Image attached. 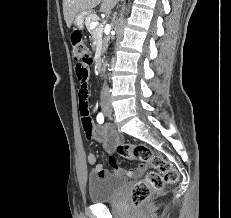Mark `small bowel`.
<instances>
[{
  "label": "small bowel",
  "instance_id": "obj_1",
  "mask_svg": "<svg viewBox=\"0 0 231 218\" xmlns=\"http://www.w3.org/2000/svg\"><path fill=\"white\" fill-rule=\"evenodd\" d=\"M90 64V60H81L80 63H75V74L81 84L79 89V108L83 117V130L87 138L90 139L95 137L103 141L106 151L112 152L121 144L120 135L110 125H105L99 131H97L93 126L91 118L89 117L88 78L91 70L88 69V67ZM87 162L93 166V172L96 175H109V171L106 170L101 164L97 163V157L94 153H90L87 156ZM109 164L116 175L125 176L128 178L139 176L147 169V165L144 163H140L138 166L132 169H122L118 166L114 156L109 157Z\"/></svg>",
  "mask_w": 231,
  "mask_h": 218
}]
</instances>
